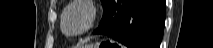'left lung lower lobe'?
I'll use <instances>...</instances> for the list:
<instances>
[{"label": "left lung lower lobe", "mask_w": 213, "mask_h": 48, "mask_svg": "<svg viewBox=\"0 0 213 48\" xmlns=\"http://www.w3.org/2000/svg\"><path fill=\"white\" fill-rule=\"evenodd\" d=\"M164 20L165 0H110L94 34L128 48H159Z\"/></svg>", "instance_id": "left-lung-lower-lobe-1"}]
</instances>
